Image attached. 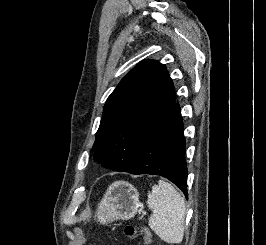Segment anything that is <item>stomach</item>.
I'll list each match as a JSON object with an SVG mask.
<instances>
[{
    "label": "stomach",
    "instance_id": "1",
    "mask_svg": "<svg viewBox=\"0 0 266 245\" xmlns=\"http://www.w3.org/2000/svg\"><path fill=\"white\" fill-rule=\"evenodd\" d=\"M140 205L139 193L131 183L114 181L96 209L97 221L101 225H108L120 219L128 221L137 215Z\"/></svg>",
    "mask_w": 266,
    "mask_h": 245
}]
</instances>
